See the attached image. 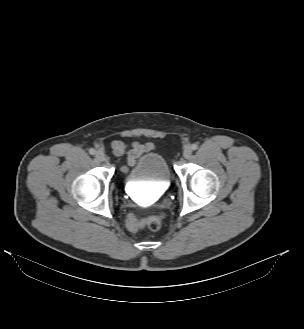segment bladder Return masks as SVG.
Masks as SVG:
<instances>
[{
    "label": "bladder",
    "mask_w": 304,
    "mask_h": 329,
    "mask_svg": "<svg viewBox=\"0 0 304 329\" xmlns=\"http://www.w3.org/2000/svg\"><path fill=\"white\" fill-rule=\"evenodd\" d=\"M171 180V171L165 158L156 152L142 154L129 168L125 183L127 187L136 183L149 182L167 185Z\"/></svg>",
    "instance_id": "1"
}]
</instances>
